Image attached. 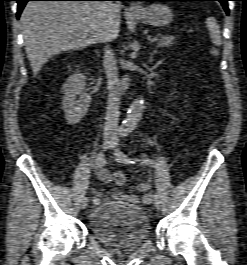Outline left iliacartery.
Wrapping results in <instances>:
<instances>
[{
	"label": "left iliac artery",
	"instance_id": "left-iliac-artery-1",
	"mask_svg": "<svg viewBox=\"0 0 247 265\" xmlns=\"http://www.w3.org/2000/svg\"><path fill=\"white\" fill-rule=\"evenodd\" d=\"M125 136H127L126 133L124 134H121V137L124 138ZM115 157H116V160L118 162H123V163H136V162H140L141 164H145V165H148V166H151V167H155L157 168L158 167V164L149 159V158H144V159H135V158H129L127 155H125L122 151L120 150H115Z\"/></svg>",
	"mask_w": 247,
	"mask_h": 265
}]
</instances>
